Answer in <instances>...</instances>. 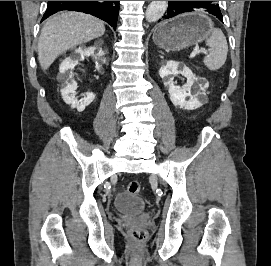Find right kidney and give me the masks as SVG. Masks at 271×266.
<instances>
[{
	"instance_id": "ca27d5eb",
	"label": "right kidney",
	"mask_w": 271,
	"mask_h": 266,
	"mask_svg": "<svg viewBox=\"0 0 271 266\" xmlns=\"http://www.w3.org/2000/svg\"><path fill=\"white\" fill-rule=\"evenodd\" d=\"M89 56H92L95 59L96 67L99 69L101 64L104 62V52L102 51V48L98 47V45L91 47L82 46L75 49L73 54L66 58L59 68V80L62 82L63 87L61 89L62 98L66 104L71 105L72 108H76L79 112H82L86 106L93 102L95 94L88 92L83 98L78 100L75 97L77 83L75 81L74 74L72 72L69 73L68 71H72L78 64L79 60Z\"/></svg>"
}]
</instances>
